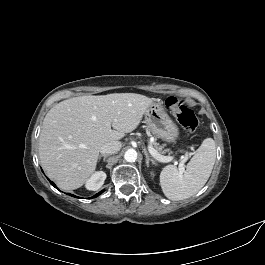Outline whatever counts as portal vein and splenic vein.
Returning a JSON list of instances; mask_svg holds the SVG:
<instances>
[{"instance_id": "portal-vein-and-splenic-vein-1", "label": "portal vein and splenic vein", "mask_w": 265, "mask_h": 265, "mask_svg": "<svg viewBox=\"0 0 265 265\" xmlns=\"http://www.w3.org/2000/svg\"><path fill=\"white\" fill-rule=\"evenodd\" d=\"M149 153L160 162H170L173 160L172 156H163L159 154L151 145L148 146ZM179 170L181 173L185 172L184 161L179 163Z\"/></svg>"}]
</instances>
